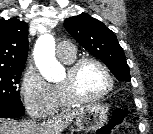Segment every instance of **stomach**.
Listing matches in <instances>:
<instances>
[{
	"label": "stomach",
	"mask_w": 153,
	"mask_h": 134,
	"mask_svg": "<svg viewBox=\"0 0 153 134\" xmlns=\"http://www.w3.org/2000/svg\"><path fill=\"white\" fill-rule=\"evenodd\" d=\"M108 108L104 104L95 103L82 108L76 117L78 131H96L107 121Z\"/></svg>",
	"instance_id": "0dacf381"
}]
</instances>
